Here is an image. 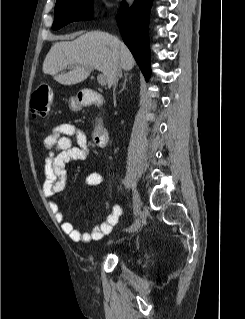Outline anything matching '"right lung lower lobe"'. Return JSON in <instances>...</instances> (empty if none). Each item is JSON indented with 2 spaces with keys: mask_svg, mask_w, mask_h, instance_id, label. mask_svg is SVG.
I'll return each mask as SVG.
<instances>
[{
  "mask_svg": "<svg viewBox=\"0 0 245 319\" xmlns=\"http://www.w3.org/2000/svg\"><path fill=\"white\" fill-rule=\"evenodd\" d=\"M152 0H135L131 6L121 3L117 23L124 43L132 52L146 80L151 74L148 25Z\"/></svg>",
  "mask_w": 245,
  "mask_h": 319,
  "instance_id": "obj_1",
  "label": "right lung lower lobe"
}]
</instances>
